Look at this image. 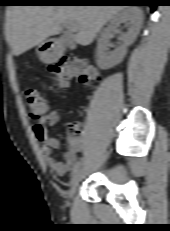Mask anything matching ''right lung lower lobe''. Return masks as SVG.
<instances>
[{"label":"right lung lower lobe","instance_id":"obj_1","mask_svg":"<svg viewBox=\"0 0 170 231\" xmlns=\"http://www.w3.org/2000/svg\"><path fill=\"white\" fill-rule=\"evenodd\" d=\"M68 1H71V2H65V3L57 4V5H99V4H94V2H86V1H92V0H68ZM112 1H129V0H112ZM138 2H140L139 5L150 6L152 11H154L156 6L159 5L157 3V0H140Z\"/></svg>","mask_w":170,"mask_h":231}]
</instances>
